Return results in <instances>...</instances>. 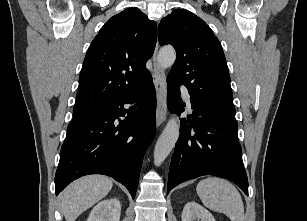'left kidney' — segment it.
<instances>
[{"instance_id": "obj_1", "label": "left kidney", "mask_w": 307, "mask_h": 221, "mask_svg": "<svg viewBox=\"0 0 307 221\" xmlns=\"http://www.w3.org/2000/svg\"><path fill=\"white\" fill-rule=\"evenodd\" d=\"M182 221H215L212 214L196 202H188L183 208Z\"/></svg>"}]
</instances>
